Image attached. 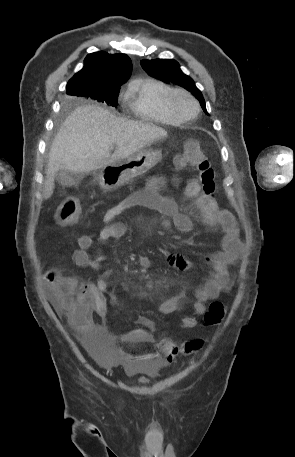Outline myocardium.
Wrapping results in <instances>:
<instances>
[{
  "label": "myocardium",
  "instance_id": "obj_1",
  "mask_svg": "<svg viewBox=\"0 0 295 457\" xmlns=\"http://www.w3.org/2000/svg\"><path fill=\"white\" fill-rule=\"evenodd\" d=\"M179 97H185L192 102V104L194 105V112L191 115H184L178 111L176 101ZM166 104L169 111L182 122L194 119L200 111V105L197 99L190 92L184 89H172L166 95Z\"/></svg>",
  "mask_w": 295,
  "mask_h": 457
}]
</instances>
